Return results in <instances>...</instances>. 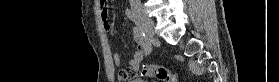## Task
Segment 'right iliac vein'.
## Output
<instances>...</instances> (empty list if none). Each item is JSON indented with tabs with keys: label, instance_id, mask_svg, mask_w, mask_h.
I'll list each match as a JSON object with an SVG mask.
<instances>
[{
	"label": "right iliac vein",
	"instance_id": "1",
	"mask_svg": "<svg viewBox=\"0 0 279 82\" xmlns=\"http://www.w3.org/2000/svg\"><path fill=\"white\" fill-rule=\"evenodd\" d=\"M132 10L141 18L142 22L144 23L146 29L149 32L150 37L154 36V22L153 20L147 15L145 10L138 6L135 3H131Z\"/></svg>",
	"mask_w": 279,
	"mask_h": 82
}]
</instances>
